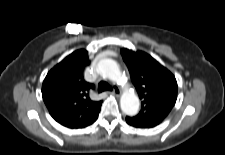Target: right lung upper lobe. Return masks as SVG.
Masks as SVG:
<instances>
[{
  "instance_id": "right-lung-upper-lobe-1",
  "label": "right lung upper lobe",
  "mask_w": 225,
  "mask_h": 155,
  "mask_svg": "<svg viewBox=\"0 0 225 155\" xmlns=\"http://www.w3.org/2000/svg\"><path fill=\"white\" fill-rule=\"evenodd\" d=\"M90 64L86 50H77L49 71L42 85V96L50 115L61 125L84 128L98 117L102 101H92L89 89L94 88L83 78Z\"/></svg>"
}]
</instances>
